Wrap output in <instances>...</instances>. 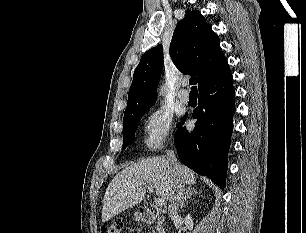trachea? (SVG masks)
Returning a JSON list of instances; mask_svg holds the SVG:
<instances>
[{"mask_svg": "<svg viewBox=\"0 0 306 233\" xmlns=\"http://www.w3.org/2000/svg\"><path fill=\"white\" fill-rule=\"evenodd\" d=\"M196 82H197L196 77H191L190 78L189 83H190V85H192L191 92H197V87L195 86Z\"/></svg>", "mask_w": 306, "mask_h": 233, "instance_id": "trachea-1", "label": "trachea"}]
</instances>
